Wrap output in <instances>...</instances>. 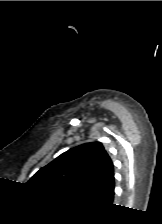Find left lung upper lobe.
Wrapping results in <instances>:
<instances>
[{"label": "left lung upper lobe", "mask_w": 162, "mask_h": 224, "mask_svg": "<svg viewBox=\"0 0 162 224\" xmlns=\"http://www.w3.org/2000/svg\"><path fill=\"white\" fill-rule=\"evenodd\" d=\"M113 174V163L100 142L71 148L41 168L27 184L45 192L86 199Z\"/></svg>", "instance_id": "5c2ea615"}]
</instances>
